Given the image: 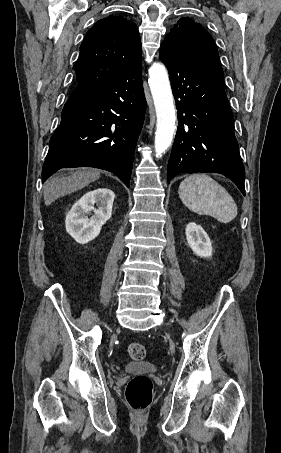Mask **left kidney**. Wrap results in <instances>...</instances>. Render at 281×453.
<instances>
[{"instance_id": "1", "label": "left kidney", "mask_w": 281, "mask_h": 453, "mask_svg": "<svg viewBox=\"0 0 281 453\" xmlns=\"http://www.w3.org/2000/svg\"><path fill=\"white\" fill-rule=\"evenodd\" d=\"M185 235L189 247L198 257H212V243L200 224L188 222Z\"/></svg>"}]
</instances>
